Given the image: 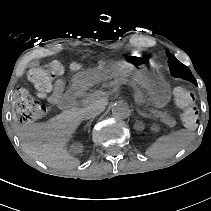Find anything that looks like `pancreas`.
<instances>
[{"mask_svg": "<svg viewBox=\"0 0 211 211\" xmlns=\"http://www.w3.org/2000/svg\"><path fill=\"white\" fill-rule=\"evenodd\" d=\"M116 84L120 85L121 80L120 79L117 80ZM134 89H135V93H134L135 100L139 103L144 102L142 92L136 86L134 87ZM152 113L155 115V117L160 118V120L163 123L167 124L168 126L174 127L176 125V120L174 118L170 117L169 114H167L166 112L152 110Z\"/></svg>", "mask_w": 211, "mask_h": 211, "instance_id": "1", "label": "pancreas"}]
</instances>
